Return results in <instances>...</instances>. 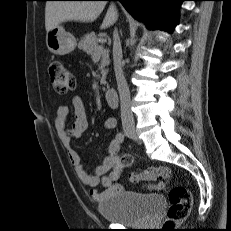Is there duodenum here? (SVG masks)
I'll list each match as a JSON object with an SVG mask.
<instances>
[{"label": "duodenum", "instance_id": "410a0bca", "mask_svg": "<svg viewBox=\"0 0 231 231\" xmlns=\"http://www.w3.org/2000/svg\"><path fill=\"white\" fill-rule=\"evenodd\" d=\"M105 99L111 108H117L118 107L119 98H118V94H117L116 90L111 89V88L107 89L105 91Z\"/></svg>", "mask_w": 231, "mask_h": 231}]
</instances>
